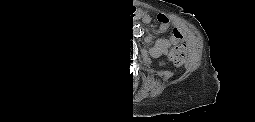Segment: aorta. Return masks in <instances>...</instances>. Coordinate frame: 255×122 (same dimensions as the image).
<instances>
[{
	"label": "aorta",
	"mask_w": 255,
	"mask_h": 122,
	"mask_svg": "<svg viewBox=\"0 0 255 122\" xmlns=\"http://www.w3.org/2000/svg\"><path fill=\"white\" fill-rule=\"evenodd\" d=\"M132 33L135 37H139L143 34V29L139 26H135L132 30Z\"/></svg>",
	"instance_id": "762f6f07"
}]
</instances>
